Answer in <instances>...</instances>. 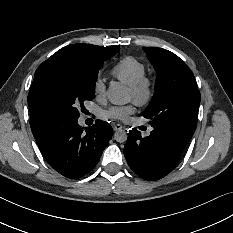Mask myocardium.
I'll list each match as a JSON object with an SVG mask.
<instances>
[{"mask_svg":"<svg viewBox=\"0 0 233 233\" xmlns=\"http://www.w3.org/2000/svg\"><path fill=\"white\" fill-rule=\"evenodd\" d=\"M129 90L140 104H147L154 93V79L144 74L136 83L129 86Z\"/></svg>","mask_w":233,"mask_h":233,"instance_id":"1","label":"myocardium"}]
</instances>
